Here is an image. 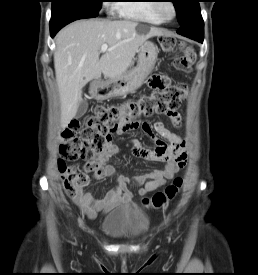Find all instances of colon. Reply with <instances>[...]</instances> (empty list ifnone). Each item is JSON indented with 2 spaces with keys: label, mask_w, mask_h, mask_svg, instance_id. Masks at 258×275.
I'll use <instances>...</instances> for the list:
<instances>
[{
  "label": "colon",
  "mask_w": 258,
  "mask_h": 275,
  "mask_svg": "<svg viewBox=\"0 0 258 275\" xmlns=\"http://www.w3.org/2000/svg\"><path fill=\"white\" fill-rule=\"evenodd\" d=\"M159 43L164 52H181L174 59V67L182 72H190L195 54L187 42L164 34L160 36ZM149 84L152 87L151 92L119 106L98 107L82 124L74 120L61 133L59 170L68 196L76 197L88 184L89 178L85 165L83 170H77L67 162L100 152L114 135L121 131L137 129L141 117L172 113L180 106L187 92L184 84L168 87L158 77L150 79ZM182 186V177H176L164 190L155 193L151 198H145L143 203L162 208L177 196Z\"/></svg>",
  "instance_id": "colon-1"
}]
</instances>
